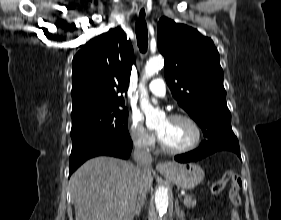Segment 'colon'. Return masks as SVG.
Masks as SVG:
<instances>
[{"instance_id": "obj_1", "label": "colon", "mask_w": 281, "mask_h": 220, "mask_svg": "<svg viewBox=\"0 0 281 220\" xmlns=\"http://www.w3.org/2000/svg\"><path fill=\"white\" fill-rule=\"evenodd\" d=\"M240 182L241 179L237 173L232 170H227L219 180L213 183L211 187V193L213 195H218L224 189L226 184L230 183L229 202L231 210V220H240L238 214V207L241 203L239 195Z\"/></svg>"}]
</instances>
